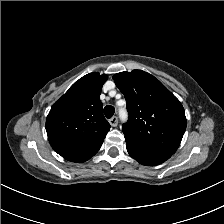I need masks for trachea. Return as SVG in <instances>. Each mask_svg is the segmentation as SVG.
Segmentation results:
<instances>
[{
  "label": "trachea",
  "instance_id": "1",
  "mask_svg": "<svg viewBox=\"0 0 224 224\" xmlns=\"http://www.w3.org/2000/svg\"><path fill=\"white\" fill-rule=\"evenodd\" d=\"M115 112V108L111 105H107L104 108V114L107 118H111Z\"/></svg>",
  "mask_w": 224,
  "mask_h": 224
}]
</instances>
